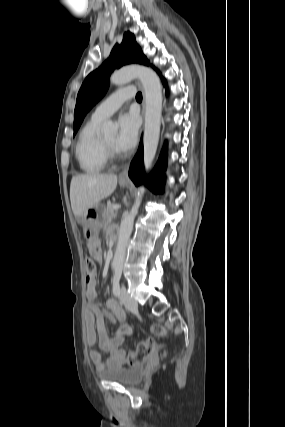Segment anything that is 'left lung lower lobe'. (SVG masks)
Instances as JSON below:
<instances>
[{"mask_svg": "<svg viewBox=\"0 0 285 427\" xmlns=\"http://www.w3.org/2000/svg\"><path fill=\"white\" fill-rule=\"evenodd\" d=\"M166 148H164L159 157L158 163L147 181L149 188L154 193H162L165 182V169H166ZM128 175L135 185H140L143 181L144 166H143V145L140 144L139 150L131 162Z\"/></svg>", "mask_w": 285, "mask_h": 427, "instance_id": "1", "label": "left lung lower lobe"}]
</instances>
